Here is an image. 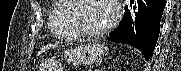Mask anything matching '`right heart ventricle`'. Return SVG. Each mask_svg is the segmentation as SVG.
Wrapping results in <instances>:
<instances>
[{
	"label": "right heart ventricle",
	"mask_w": 181,
	"mask_h": 71,
	"mask_svg": "<svg viewBox=\"0 0 181 71\" xmlns=\"http://www.w3.org/2000/svg\"><path fill=\"white\" fill-rule=\"evenodd\" d=\"M72 8L68 0L54 1L49 13L50 30L63 38H77L80 35L72 25Z\"/></svg>",
	"instance_id": "right-heart-ventricle-1"
}]
</instances>
